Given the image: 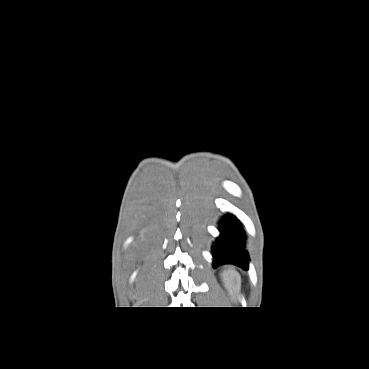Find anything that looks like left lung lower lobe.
<instances>
[{
	"mask_svg": "<svg viewBox=\"0 0 369 369\" xmlns=\"http://www.w3.org/2000/svg\"><path fill=\"white\" fill-rule=\"evenodd\" d=\"M220 237L213 246V266L235 264L248 268V252L245 250V234L238 223L230 215L219 222Z\"/></svg>",
	"mask_w": 369,
	"mask_h": 369,
	"instance_id": "1",
	"label": "left lung lower lobe"
}]
</instances>
